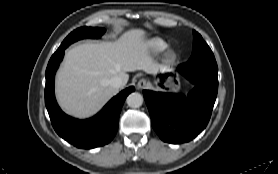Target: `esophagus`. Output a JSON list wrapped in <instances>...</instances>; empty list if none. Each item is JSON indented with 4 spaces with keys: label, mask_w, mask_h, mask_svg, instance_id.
Returning <instances> with one entry per match:
<instances>
[{
    "label": "esophagus",
    "mask_w": 278,
    "mask_h": 174,
    "mask_svg": "<svg viewBox=\"0 0 278 174\" xmlns=\"http://www.w3.org/2000/svg\"><path fill=\"white\" fill-rule=\"evenodd\" d=\"M147 86H148V82L144 78H141L137 83V88L140 90L145 89Z\"/></svg>",
    "instance_id": "obj_1"
}]
</instances>
